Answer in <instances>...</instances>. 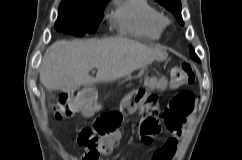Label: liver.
Here are the masks:
<instances>
[{"label":"liver","instance_id":"1","mask_svg":"<svg viewBox=\"0 0 242 160\" xmlns=\"http://www.w3.org/2000/svg\"><path fill=\"white\" fill-rule=\"evenodd\" d=\"M167 57L166 51L122 37L59 40L44 54L40 82L49 91L71 92L84 85L117 80ZM93 68H97L96 77L89 74Z\"/></svg>","mask_w":242,"mask_h":160}]
</instances>
